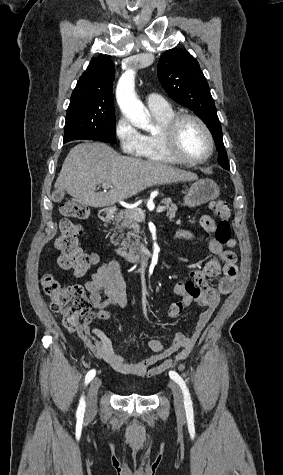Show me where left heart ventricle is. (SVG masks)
<instances>
[{
  "label": "left heart ventricle",
  "instance_id": "obj_1",
  "mask_svg": "<svg viewBox=\"0 0 283 475\" xmlns=\"http://www.w3.org/2000/svg\"><path fill=\"white\" fill-rule=\"evenodd\" d=\"M207 150L208 141L203 129L190 119L181 123L176 143L166 144V151L172 157L197 158L203 156Z\"/></svg>",
  "mask_w": 283,
  "mask_h": 475
}]
</instances>
